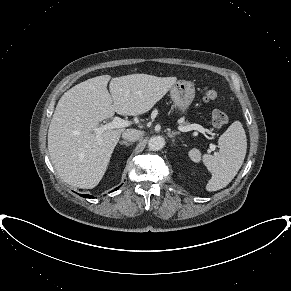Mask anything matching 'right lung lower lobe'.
Listing matches in <instances>:
<instances>
[{
  "mask_svg": "<svg viewBox=\"0 0 291 291\" xmlns=\"http://www.w3.org/2000/svg\"><path fill=\"white\" fill-rule=\"evenodd\" d=\"M119 188V187H118ZM118 188H116L115 190H117ZM80 196H82V197H84V198H92V196H90V195H81L80 194Z\"/></svg>",
  "mask_w": 291,
  "mask_h": 291,
  "instance_id": "obj_1",
  "label": "right lung lower lobe"
}]
</instances>
